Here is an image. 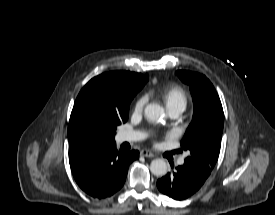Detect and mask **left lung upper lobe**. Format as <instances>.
Instances as JSON below:
<instances>
[{"instance_id": "left-lung-upper-lobe-1", "label": "left lung upper lobe", "mask_w": 275, "mask_h": 215, "mask_svg": "<svg viewBox=\"0 0 275 215\" xmlns=\"http://www.w3.org/2000/svg\"><path fill=\"white\" fill-rule=\"evenodd\" d=\"M176 75L190 86L194 114L183 140L182 149L189 152L185 163L210 174L221 146L224 113L219 96L211 82L199 73L179 70Z\"/></svg>"}]
</instances>
